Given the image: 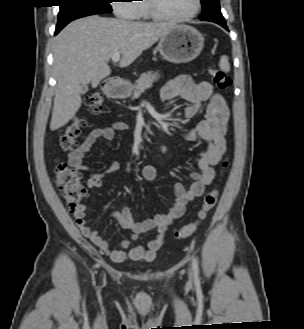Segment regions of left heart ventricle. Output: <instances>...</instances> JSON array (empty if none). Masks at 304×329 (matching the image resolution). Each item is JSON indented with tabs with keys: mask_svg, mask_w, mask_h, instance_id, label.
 <instances>
[{
	"mask_svg": "<svg viewBox=\"0 0 304 329\" xmlns=\"http://www.w3.org/2000/svg\"><path fill=\"white\" fill-rule=\"evenodd\" d=\"M160 9L168 15L181 16L193 11L195 0H157Z\"/></svg>",
	"mask_w": 304,
	"mask_h": 329,
	"instance_id": "1",
	"label": "left heart ventricle"
}]
</instances>
